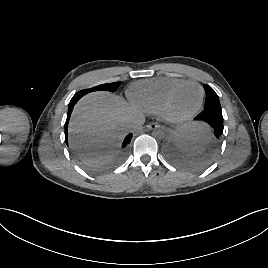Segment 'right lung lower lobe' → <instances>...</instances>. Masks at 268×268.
Wrapping results in <instances>:
<instances>
[{"label":"right lung lower lobe","mask_w":268,"mask_h":268,"mask_svg":"<svg viewBox=\"0 0 268 268\" xmlns=\"http://www.w3.org/2000/svg\"><path fill=\"white\" fill-rule=\"evenodd\" d=\"M80 96L74 95L69 103L68 106V113H67V119H66V123H65V142L66 144L68 143V137H67V128H68V122H69V118L71 116L72 110L74 105L77 103V101L80 99ZM132 134L130 133L129 135H127L121 145L122 148V152L125 153L127 151L128 145L131 142L132 139Z\"/></svg>","instance_id":"obj_1"}]
</instances>
